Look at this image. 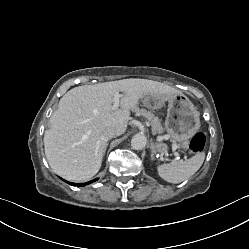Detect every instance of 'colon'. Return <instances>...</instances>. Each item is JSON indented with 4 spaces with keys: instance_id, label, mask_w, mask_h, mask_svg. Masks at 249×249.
Segmentation results:
<instances>
[{
    "instance_id": "colon-1",
    "label": "colon",
    "mask_w": 249,
    "mask_h": 249,
    "mask_svg": "<svg viewBox=\"0 0 249 249\" xmlns=\"http://www.w3.org/2000/svg\"><path fill=\"white\" fill-rule=\"evenodd\" d=\"M206 143V137L203 133H196L190 140L189 149L192 153H198L203 150Z\"/></svg>"
}]
</instances>
